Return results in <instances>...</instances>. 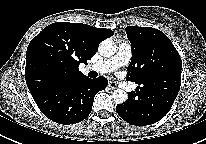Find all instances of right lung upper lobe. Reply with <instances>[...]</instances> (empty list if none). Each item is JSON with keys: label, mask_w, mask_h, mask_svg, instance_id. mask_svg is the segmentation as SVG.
<instances>
[{"label": "right lung upper lobe", "mask_w": 206, "mask_h": 144, "mask_svg": "<svg viewBox=\"0 0 206 144\" xmlns=\"http://www.w3.org/2000/svg\"><path fill=\"white\" fill-rule=\"evenodd\" d=\"M113 34L82 23L56 22L45 27L26 52L25 79L31 95L86 78L79 64L87 63L99 43Z\"/></svg>", "instance_id": "obj_1"}]
</instances>
